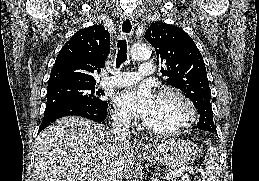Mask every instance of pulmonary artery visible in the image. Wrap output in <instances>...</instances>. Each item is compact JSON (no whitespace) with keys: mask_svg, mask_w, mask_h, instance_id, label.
Returning <instances> with one entry per match:
<instances>
[{"mask_svg":"<svg viewBox=\"0 0 259 181\" xmlns=\"http://www.w3.org/2000/svg\"><path fill=\"white\" fill-rule=\"evenodd\" d=\"M140 75L148 77L153 75L154 67L151 62H143L140 66ZM139 78L134 72L130 71H114L111 76L100 81L102 87H121L135 84Z\"/></svg>","mask_w":259,"mask_h":181,"instance_id":"e3ab8cb5","label":"pulmonary artery"}]
</instances>
